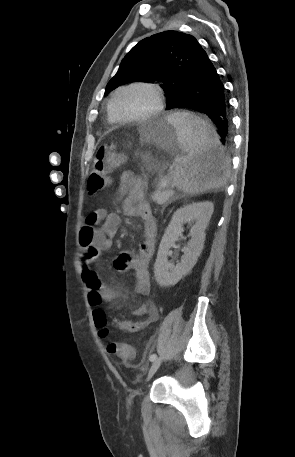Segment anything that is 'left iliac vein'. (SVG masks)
I'll list each match as a JSON object with an SVG mask.
<instances>
[{
	"mask_svg": "<svg viewBox=\"0 0 295 457\" xmlns=\"http://www.w3.org/2000/svg\"><path fill=\"white\" fill-rule=\"evenodd\" d=\"M161 362H162V357H158L153 361V363L149 369V372H148L147 380H150L152 378V376L155 374V372L158 370L159 366L161 365Z\"/></svg>",
	"mask_w": 295,
	"mask_h": 457,
	"instance_id": "4c4485c4",
	"label": "left iliac vein"
}]
</instances>
